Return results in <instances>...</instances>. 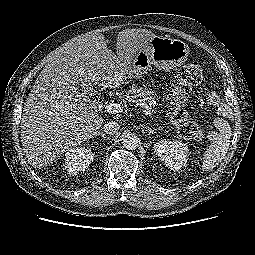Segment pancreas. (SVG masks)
Here are the masks:
<instances>
[{"instance_id": "1", "label": "pancreas", "mask_w": 255, "mask_h": 255, "mask_svg": "<svg viewBox=\"0 0 255 255\" xmlns=\"http://www.w3.org/2000/svg\"><path fill=\"white\" fill-rule=\"evenodd\" d=\"M123 96L129 102L141 101L150 107H155L157 105L152 92L142 86H137L136 84L129 86V89L123 92Z\"/></svg>"}]
</instances>
